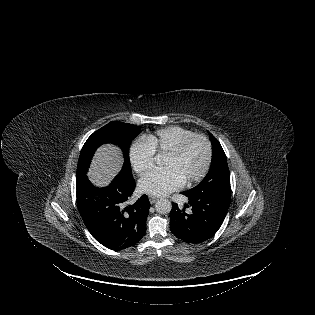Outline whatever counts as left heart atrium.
Here are the masks:
<instances>
[{
    "instance_id": "obj_1",
    "label": "left heart atrium",
    "mask_w": 315,
    "mask_h": 315,
    "mask_svg": "<svg viewBox=\"0 0 315 315\" xmlns=\"http://www.w3.org/2000/svg\"><path fill=\"white\" fill-rule=\"evenodd\" d=\"M184 177L172 167L156 168L144 176L139 182L143 193L163 196L183 186Z\"/></svg>"
}]
</instances>
